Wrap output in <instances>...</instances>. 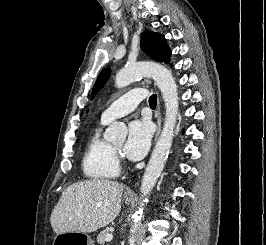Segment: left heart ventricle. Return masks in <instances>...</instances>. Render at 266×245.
<instances>
[{"mask_svg": "<svg viewBox=\"0 0 266 245\" xmlns=\"http://www.w3.org/2000/svg\"><path fill=\"white\" fill-rule=\"evenodd\" d=\"M121 145H122V142H121V143H118V144H114V147H115L116 149H119V148L121 147Z\"/></svg>", "mask_w": 266, "mask_h": 245, "instance_id": "obj_1", "label": "left heart ventricle"}]
</instances>
